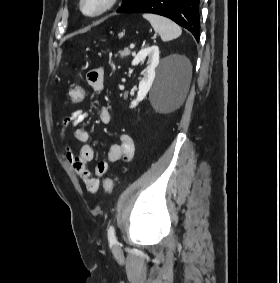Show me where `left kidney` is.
Instances as JSON below:
<instances>
[{"instance_id":"1","label":"left kidney","mask_w":280,"mask_h":283,"mask_svg":"<svg viewBox=\"0 0 280 283\" xmlns=\"http://www.w3.org/2000/svg\"><path fill=\"white\" fill-rule=\"evenodd\" d=\"M146 57H148L147 61V71L144 75V77L139 82V90L137 93V97L135 100L131 102L130 108H134L138 105L139 102H141L149 92L155 75H156V68L159 65V48L156 45H153L151 47L144 48L138 52V54L135 56V58L132 61V65H138L139 63L143 62ZM170 60L177 59L181 63H186L187 60L180 56H172L169 58Z\"/></svg>"}]
</instances>
